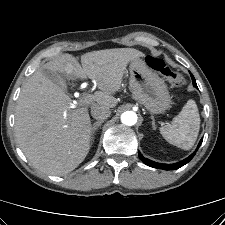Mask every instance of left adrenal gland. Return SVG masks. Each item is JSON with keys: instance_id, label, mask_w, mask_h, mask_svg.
Instances as JSON below:
<instances>
[{"instance_id": "1", "label": "left adrenal gland", "mask_w": 225, "mask_h": 225, "mask_svg": "<svg viewBox=\"0 0 225 225\" xmlns=\"http://www.w3.org/2000/svg\"><path fill=\"white\" fill-rule=\"evenodd\" d=\"M151 119H152V128H153V130H155L156 129V125H155L154 116H151Z\"/></svg>"}]
</instances>
